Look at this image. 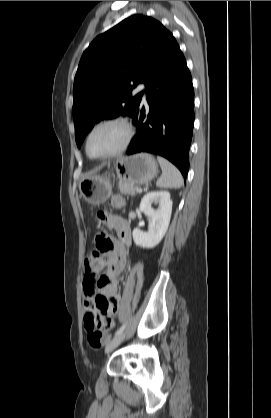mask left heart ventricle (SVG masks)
<instances>
[{"label": "left heart ventricle", "instance_id": "left-heart-ventricle-1", "mask_svg": "<svg viewBox=\"0 0 271 418\" xmlns=\"http://www.w3.org/2000/svg\"><path fill=\"white\" fill-rule=\"evenodd\" d=\"M124 138L123 130L116 125L99 128L91 136L89 151L93 156H101L118 148Z\"/></svg>", "mask_w": 271, "mask_h": 418}]
</instances>
